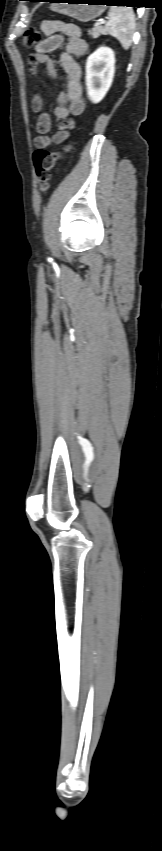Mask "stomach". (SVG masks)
<instances>
[{
	"instance_id": "1",
	"label": "stomach",
	"mask_w": 162,
	"mask_h": 851,
	"mask_svg": "<svg viewBox=\"0 0 162 851\" xmlns=\"http://www.w3.org/2000/svg\"><path fill=\"white\" fill-rule=\"evenodd\" d=\"M51 9L81 22L99 17L105 10V0H53Z\"/></svg>"
}]
</instances>
